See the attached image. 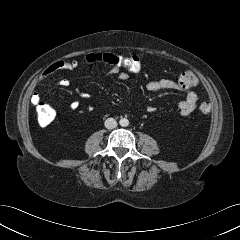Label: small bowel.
Listing matches in <instances>:
<instances>
[{
	"mask_svg": "<svg viewBox=\"0 0 240 240\" xmlns=\"http://www.w3.org/2000/svg\"><path fill=\"white\" fill-rule=\"evenodd\" d=\"M98 55H100V53H90L86 55L85 59L90 64H97V63H100L96 60V57ZM78 66H79V63L77 60L56 61L48 68L46 75H50L60 70L71 71L76 69ZM107 66L109 67L107 71L108 74H117L121 80H126L128 78V75L125 72L116 71L111 66L109 65ZM57 84L61 87H68L70 85V82L68 79L63 78V79H60ZM146 88L151 92L169 91V90H176V89L186 91L187 92L186 98L183 101L178 103V113L182 117L189 115L191 112H193L196 109L197 102H198V94L194 91H191L190 89L181 88L177 81H174L171 79L151 80L147 83ZM76 90L81 98L87 99L89 97L88 93L81 91L78 88ZM31 101L33 104H37L38 102L41 101V98L38 92L33 93L31 97ZM78 106H79V103L77 101L72 102L70 105L72 109H77ZM149 111L151 112L154 111V108L149 107Z\"/></svg>",
	"mask_w": 240,
	"mask_h": 240,
	"instance_id": "small-bowel-1",
	"label": "small bowel"
}]
</instances>
